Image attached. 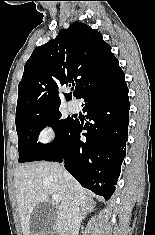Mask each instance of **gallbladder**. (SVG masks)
<instances>
[{
    "instance_id": "gallbladder-1",
    "label": "gallbladder",
    "mask_w": 155,
    "mask_h": 235,
    "mask_svg": "<svg viewBox=\"0 0 155 235\" xmlns=\"http://www.w3.org/2000/svg\"><path fill=\"white\" fill-rule=\"evenodd\" d=\"M57 206L50 202L37 205L30 218V231L32 235H48L57 218Z\"/></svg>"
}]
</instances>
